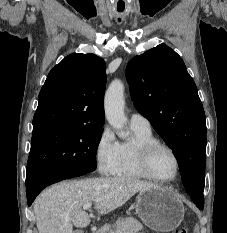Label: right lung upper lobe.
<instances>
[{"instance_id":"obj_1","label":"right lung upper lobe","mask_w":227,"mask_h":233,"mask_svg":"<svg viewBox=\"0 0 227 233\" xmlns=\"http://www.w3.org/2000/svg\"><path fill=\"white\" fill-rule=\"evenodd\" d=\"M105 71L104 60L94 54L65 57L39 93L33 133L59 126H102Z\"/></svg>"}]
</instances>
